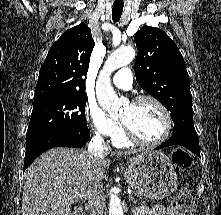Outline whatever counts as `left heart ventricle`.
<instances>
[{
	"label": "left heart ventricle",
	"mask_w": 221,
	"mask_h": 215,
	"mask_svg": "<svg viewBox=\"0 0 221 215\" xmlns=\"http://www.w3.org/2000/svg\"><path fill=\"white\" fill-rule=\"evenodd\" d=\"M129 128L147 141L158 139L164 132L165 120L160 109L150 101L126 105L120 115Z\"/></svg>",
	"instance_id": "1"
}]
</instances>
